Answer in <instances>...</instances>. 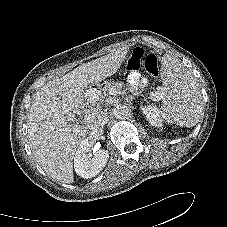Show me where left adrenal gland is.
<instances>
[{
  "instance_id": "1",
  "label": "left adrenal gland",
  "mask_w": 227,
  "mask_h": 227,
  "mask_svg": "<svg viewBox=\"0 0 227 227\" xmlns=\"http://www.w3.org/2000/svg\"><path fill=\"white\" fill-rule=\"evenodd\" d=\"M137 95V94H135ZM134 99V96H129V97H126L125 100L128 102V101H132Z\"/></svg>"
}]
</instances>
